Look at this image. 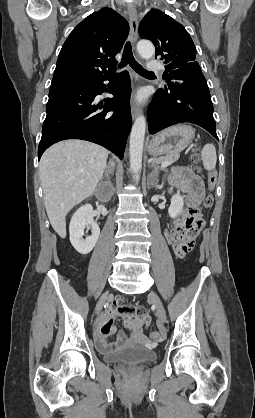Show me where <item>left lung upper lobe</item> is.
Segmentation results:
<instances>
[{"mask_svg": "<svg viewBox=\"0 0 255 418\" xmlns=\"http://www.w3.org/2000/svg\"><path fill=\"white\" fill-rule=\"evenodd\" d=\"M139 35L149 39L155 46V57L164 61L165 71L162 78L177 69L199 66L196 48L185 28L170 16L158 9H151L139 26Z\"/></svg>", "mask_w": 255, "mask_h": 418, "instance_id": "5c2ea615", "label": "left lung upper lobe"}]
</instances>
